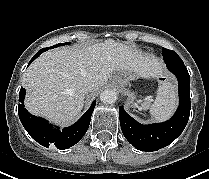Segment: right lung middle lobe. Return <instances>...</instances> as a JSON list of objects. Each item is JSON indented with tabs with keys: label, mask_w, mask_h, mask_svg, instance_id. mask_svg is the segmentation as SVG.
Returning <instances> with one entry per match:
<instances>
[{
	"label": "right lung middle lobe",
	"mask_w": 209,
	"mask_h": 179,
	"mask_svg": "<svg viewBox=\"0 0 209 179\" xmlns=\"http://www.w3.org/2000/svg\"><path fill=\"white\" fill-rule=\"evenodd\" d=\"M65 44H68V43H60V44H56V45H54V46H51V47H48V48H44L43 50L46 51V50H48V49H50V48H55V47H58V46H63V45H65Z\"/></svg>",
	"instance_id": "1"
}]
</instances>
